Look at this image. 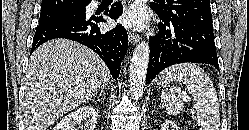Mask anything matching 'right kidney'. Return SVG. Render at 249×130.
<instances>
[{"label":"right kidney","instance_id":"obj_1","mask_svg":"<svg viewBox=\"0 0 249 130\" xmlns=\"http://www.w3.org/2000/svg\"><path fill=\"white\" fill-rule=\"evenodd\" d=\"M98 113L91 106H83L76 111L69 113L60 120L54 130H76V125L83 122L84 130H94Z\"/></svg>","mask_w":249,"mask_h":130}]
</instances>
